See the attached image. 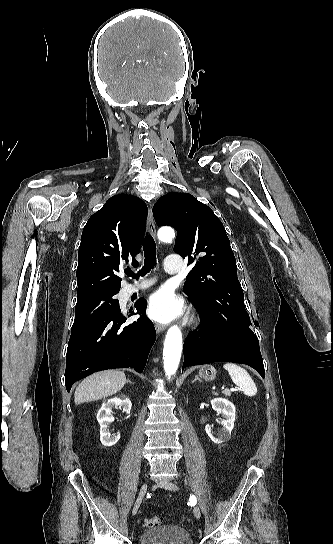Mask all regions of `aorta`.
I'll return each instance as SVG.
<instances>
[{"label":"aorta","instance_id":"obj_1","mask_svg":"<svg viewBox=\"0 0 333 544\" xmlns=\"http://www.w3.org/2000/svg\"><path fill=\"white\" fill-rule=\"evenodd\" d=\"M174 235V231L170 227H163L158 231V238L163 242L172 241ZM181 352V330L178 326L174 325L167 331L163 349L164 370L168 377H171L176 373L181 358Z\"/></svg>","mask_w":333,"mask_h":544}]
</instances>
